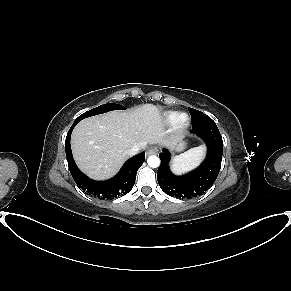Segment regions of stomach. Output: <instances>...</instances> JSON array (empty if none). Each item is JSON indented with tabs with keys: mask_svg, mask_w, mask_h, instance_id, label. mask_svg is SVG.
<instances>
[{
	"mask_svg": "<svg viewBox=\"0 0 291 291\" xmlns=\"http://www.w3.org/2000/svg\"><path fill=\"white\" fill-rule=\"evenodd\" d=\"M183 147H184L183 143L180 142V143L177 145L176 150H177V151H180V150L183 149Z\"/></svg>",
	"mask_w": 291,
	"mask_h": 291,
	"instance_id": "stomach-1",
	"label": "stomach"
}]
</instances>
